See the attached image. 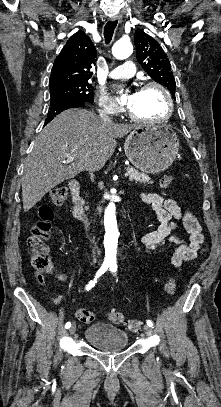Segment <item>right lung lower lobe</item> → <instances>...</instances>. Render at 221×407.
<instances>
[{
	"label": "right lung lower lobe",
	"instance_id": "98d812e1",
	"mask_svg": "<svg viewBox=\"0 0 221 407\" xmlns=\"http://www.w3.org/2000/svg\"><path fill=\"white\" fill-rule=\"evenodd\" d=\"M87 102L78 99H64L50 103L45 124L49 123L56 115L69 108L84 107Z\"/></svg>",
	"mask_w": 221,
	"mask_h": 407
}]
</instances>
